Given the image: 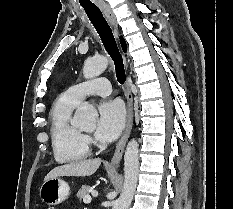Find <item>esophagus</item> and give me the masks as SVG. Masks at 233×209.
<instances>
[{"label": "esophagus", "instance_id": "obj_1", "mask_svg": "<svg viewBox=\"0 0 233 209\" xmlns=\"http://www.w3.org/2000/svg\"><path fill=\"white\" fill-rule=\"evenodd\" d=\"M99 8L103 12V14L107 18V20L109 21L110 25L112 26L115 35L118 36V25L116 22L115 15H114L112 9L110 8V6L106 5V4H101V5H99ZM123 59H124L125 65H127L126 58L123 57ZM125 96H126V100H127V111H128L127 121H126V126H125V130L123 132V135H122L121 139L119 140L117 147H116V150H115V153L111 159V165H113V166L119 164V162L121 161L126 142L129 138V135L131 133L132 126H133V119H134L133 96H132V93L130 90V83H129L128 78L126 81Z\"/></svg>", "mask_w": 233, "mask_h": 209}]
</instances>
